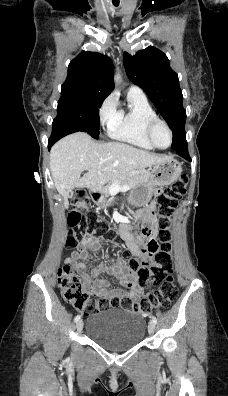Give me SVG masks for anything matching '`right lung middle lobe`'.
Segmentation results:
<instances>
[{"label": "right lung middle lobe", "instance_id": "obj_1", "mask_svg": "<svg viewBox=\"0 0 228 396\" xmlns=\"http://www.w3.org/2000/svg\"><path fill=\"white\" fill-rule=\"evenodd\" d=\"M107 96L75 88H62L58 102L57 117L53 127L57 135L66 136L70 133L83 131L94 139L99 138V108Z\"/></svg>", "mask_w": 228, "mask_h": 396}]
</instances>
